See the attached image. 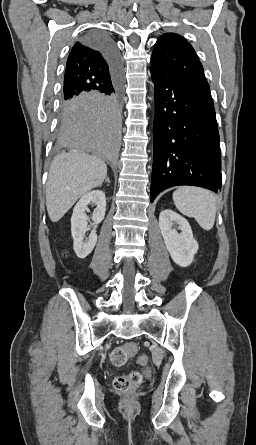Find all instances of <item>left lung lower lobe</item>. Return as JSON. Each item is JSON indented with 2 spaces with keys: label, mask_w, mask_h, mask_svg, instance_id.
<instances>
[{
  "label": "left lung lower lobe",
  "mask_w": 256,
  "mask_h": 445,
  "mask_svg": "<svg viewBox=\"0 0 256 445\" xmlns=\"http://www.w3.org/2000/svg\"><path fill=\"white\" fill-rule=\"evenodd\" d=\"M155 84L151 202L178 185L221 188L219 133L210 89L151 67Z\"/></svg>",
  "instance_id": "obj_1"
}]
</instances>
